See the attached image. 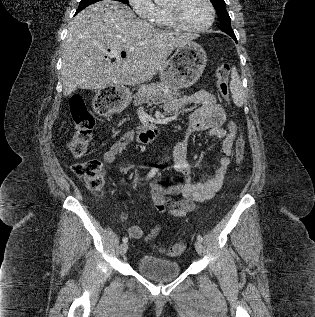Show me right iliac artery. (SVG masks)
Segmentation results:
<instances>
[{
	"label": "right iliac artery",
	"instance_id": "obj_1",
	"mask_svg": "<svg viewBox=\"0 0 315 317\" xmlns=\"http://www.w3.org/2000/svg\"><path fill=\"white\" fill-rule=\"evenodd\" d=\"M157 171H158L157 168H152L151 171L148 173L146 180H149L152 177H154V175L156 174ZM122 241L124 243H126L128 241V238L127 237H123Z\"/></svg>",
	"mask_w": 315,
	"mask_h": 317
}]
</instances>
